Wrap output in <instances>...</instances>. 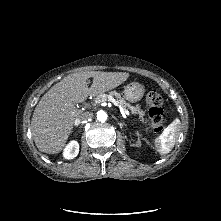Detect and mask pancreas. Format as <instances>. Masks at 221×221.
<instances>
[{
  "label": "pancreas",
  "instance_id": "cf45deb5",
  "mask_svg": "<svg viewBox=\"0 0 221 221\" xmlns=\"http://www.w3.org/2000/svg\"><path fill=\"white\" fill-rule=\"evenodd\" d=\"M107 95H99L97 98H102ZM108 96L115 97L118 100V103L124 107L129 109L133 114H138L139 119L144 122V114L145 112L140 108V106H132L126 102V100L120 95V93L116 91H111Z\"/></svg>",
  "mask_w": 221,
  "mask_h": 221
}]
</instances>
